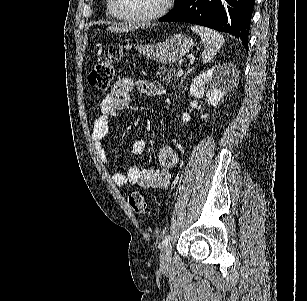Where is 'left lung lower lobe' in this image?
<instances>
[{"instance_id": "1", "label": "left lung lower lobe", "mask_w": 307, "mask_h": 301, "mask_svg": "<svg viewBox=\"0 0 307 301\" xmlns=\"http://www.w3.org/2000/svg\"><path fill=\"white\" fill-rule=\"evenodd\" d=\"M255 0H182L161 22H189L227 32L248 49Z\"/></svg>"}]
</instances>
